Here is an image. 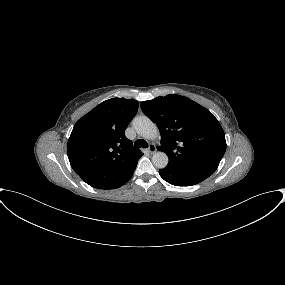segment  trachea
Here are the masks:
<instances>
[{"label": "trachea", "mask_w": 285, "mask_h": 285, "mask_svg": "<svg viewBox=\"0 0 285 285\" xmlns=\"http://www.w3.org/2000/svg\"><path fill=\"white\" fill-rule=\"evenodd\" d=\"M135 147L140 148H147L148 147V143L145 140L142 139H137L134 143Z\"/></svg>", "instance_id": "obj_1"}]
</instances>
